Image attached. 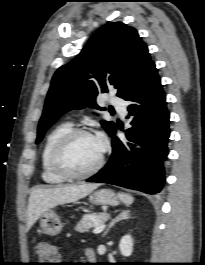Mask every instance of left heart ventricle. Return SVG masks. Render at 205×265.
Segmentation results:
<instances>
[{
	"instance_id": "obj_1",
	"label": "left heart ventricle",
	"mask_w": 205,
	"mask_h": 265,
	"mask_svg": "<svg viewBox=\"0 0 205 265\" xmlns=\"http://www.w3.org/2000/svg\"><path fill=\"white\" fill-rule=\"evenodd\" d=\"M100 154L101 150L94 137L79 136L66 148L62 163L71 172L82 173L97 163Z\"/></svg>"
}]
</instances>
